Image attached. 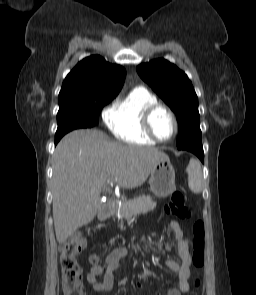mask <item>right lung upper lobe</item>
Here are the masks:
<instances>
[{
    "instance_id": "obj_1",
    "label": "right lung upper lobe",
    "mask_w": 256,
    "mask_h": 295,
    "mask_svg": "<svg viewBox=\"0 0 256 295\" xmlns=\"http://www.w3.org/2000/svg\"><path fill=\"white\" fill-rule=\"evenodd\" d=\"M125 76L123 67L112 65L98 55L87 57L66 76L58 96L59 106L116 97Z\"/></svg>"
}]
</instances>
